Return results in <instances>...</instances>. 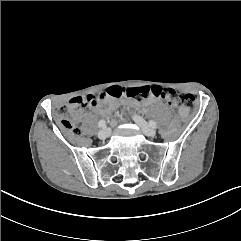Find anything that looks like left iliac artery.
<instances>
[{"instance_id":"left-iliac-artery-1","label":"left iliac artery","mask_w":241,"mask_h":241,"mask_svg":"<svg viewBox=\"0 0 241 241\" xmlns=\"http://www.w3.org/2000/svg\"><path fill=\"white\" fill-rule=\"evenodd\" d=\"M149 125H150V127H152V128H157V124H156V122L155 121H152V120H150L149 121Z\"/></svg>"}]
</instances>
